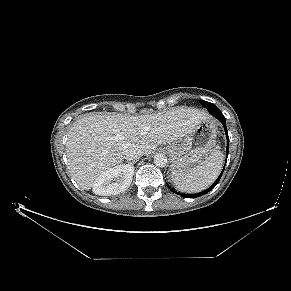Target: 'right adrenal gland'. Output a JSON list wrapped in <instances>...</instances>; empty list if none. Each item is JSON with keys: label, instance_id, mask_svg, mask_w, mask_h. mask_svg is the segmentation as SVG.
<instances>
[{"label": "right adrenal gland", "instance_id": "obj_1", "mask_svg": "<svg viewBox=\"0 0 291 291\" xmlns=\"http://www.w3.org/2000/svg\"><path fill=\"white\" fill-rule=\"evenodd\" d=\"M129 164L133 165V164H134V162H129Z\"/></svg>", "mask_w": 291, "mask_h": 291}]
</instances>
